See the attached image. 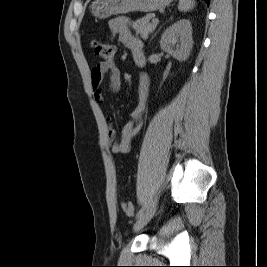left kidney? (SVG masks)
Returning a JSON list of instances; mask_svg holds the SVG:
<instances>
[{
    "instance_id": "1",
    "label": "left kidney",
    "mask_w": 267,
    "mask_h": 267,
    "mask_svg": "<svg viewBox=\"0 0 267 267\" xmlns=\"http://www.w3.org/2000/svg\"><path fill=\"white\" fill-rule=\"evenodd\" d=\"M161 49L179 61H185L192 50V26L187 19H181L170 25L162 34Z\"/></svg>"
}]
</instances>
